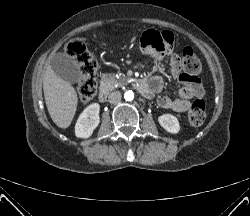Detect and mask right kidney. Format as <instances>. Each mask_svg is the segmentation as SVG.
<instances>
[{
	"label": "right kidney",
	"mask_w": 250,
	"mask_h": 216,
	"mask_svg": "<svg viewBox=\"0 0 250 216\" xmlns=\"http://www.w3.org/2000/svg\"><path fill=\"white\" fill-rule=\"evenodd\" d=\"M100 105L98 103H92L80 114L76 125L75 135L78 138H89L94 129L100 123L99 117Z\"/></svg>",
	"instance_id": "obj_1"
}]
</instances>
